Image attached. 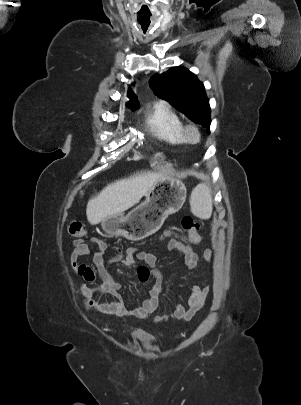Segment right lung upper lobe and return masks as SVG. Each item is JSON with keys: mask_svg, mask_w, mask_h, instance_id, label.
<instances>
[{"mask_svg": "<svg viewBox=\"0 0 301 405\" xmlns=\"http://www.w3.org/2000/svg\"><path fill=\"white\" fill-rule=\"evenodd\" d=\"M128 95H129L130 101L127 103V107H129L132 110L137 109L139 106L137 96L131 90L128 91Z\"/></svg>", "mask_w": 301, "mask_h": 405, "instance_id": "1", "label": "right lung upper lobe"}]
</instances>
